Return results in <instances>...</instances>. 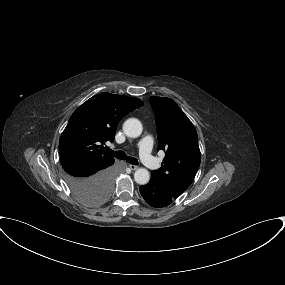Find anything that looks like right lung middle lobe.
I'll return each mask as SVG.
<instances>
[{
	"instance_id": "obj_1",
	"label": "right lung middle lobe",
	"mask_w": 285,
	"mask_h": 285,
	"mask_svg": "<svg viewBox=\"0 0 285 285\" xmlns=\"http://www.w3.org/2000/svg\"><path fill=\"white\" fill-rule=\"evenodd\" d=\"M111 188L107 186H86L73 188L75 196L83 203L91 206L100 205L105 202L111 193Z\"/></svg>"
}]
</instances>
